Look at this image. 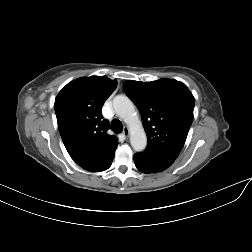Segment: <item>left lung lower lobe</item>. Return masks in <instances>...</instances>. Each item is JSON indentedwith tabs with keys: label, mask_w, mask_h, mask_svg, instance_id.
Returning a JSON list of instances; mask_svg holds the SVG:
<instances>
[{
	"label": "left lung lower lobe",
	"mask_w": 252,
	"mask_h": 252,
	"mask_svg": "<svg viewBox=\"0 0 252 252\" xmlns=\"http://www.w3.org/2000/svg\"><path fill=\"white\" fill-rule=\"evenodd\" d=\"M175 158L154 149H146L134 155L136 168L142 173H158L172 165Z\"/></svg>",
	"instance_id": "left-lung-lower-lobe-1"
}]
</instances>
